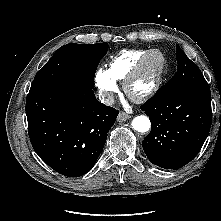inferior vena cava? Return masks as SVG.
I'll return each instance as SVG.
<instances>
[{"instance_id": "602c4592", "label": "inferior vena cava", "mask_w": 221, "mask_h": 221, "mask_svg": "<svg viewBox=\"0 0 221 221\" xmlns=\"http://www.w3.org/2000/svg\"><path fill=\"white\" fill-rule=\"evenodd\" d=\"M99 98L103 104L108 105V106H112L115 102L113 94L109 92L100 94Z\"/></svg>"}]
</instances>
